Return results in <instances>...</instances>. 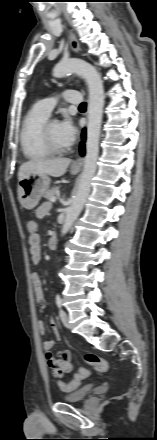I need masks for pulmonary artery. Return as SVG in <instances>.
<instances>
[{
    "mask_svg": "<svg viewBox=\"0 0 157 440\" xmlns=\"http://www.w3.org/2000/svg\"><path fill=\"white\" fill-rule=\"evenodd\" d=\"M65 101L72 104H78L81 102L82 96L80 92L74 90H66L62 93ZM58 98L56 96H51L44 98L36 103V107L46 115H50L52 110L57 104Z\"/></svg>",
    "mask_w": 157,
    "mask_h": 440,
    "instance_id": "obj_1",
    "label": "pulmonary artery"
}]
</instances>
